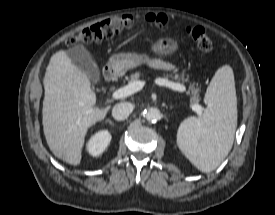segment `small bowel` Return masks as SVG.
Segmentation results:
<instances>
[{"label":"small bowel","mask_w":275,"mask_h":215,"mask_svg":"<svg viewBox=\"0 0 275 215\" xmlns=\"http://www.w3.org/2000/svg\"><path fill=\"white\" fill-rule=\"evenodd\" d=\"M163 68H164L165 70H170V69H171V66L168 65V64H165V65L163 66Z\"/></svg>","instance_id":"c3829d8e"}]
</instances>
